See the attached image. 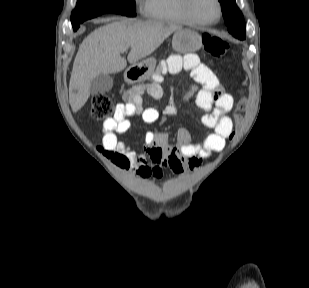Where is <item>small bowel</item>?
<instances>
[{"label":"small bowel","instance_id":"c3829d8e","mask_svg":"<svg viewBox=\"0 0 309 288\" xmlns=\"http://www.w3.org/2000/svg\"><path fill=\"white\" fill-rule=\"evenodd\" d=\"M183 68L191 73L197 86H187L182 100L195 97L196 106L205 113L202 122L212 132L202 142L193 143L190 131L180 128L176 144L170 142L167 133L148 132L143 153L130 149L117 139V135L130 129L128 117L138 115L144 123L156 122L160 113L153 107H144L143 95L147 94L153 99H160L163 95V89L157 81L137 86L124 94L123 102L118 104L114 116L106 119L102 125L104 150L109 156L118 154L123 157L117 162L121 169L134 170L142 179L159 180L163 177L164 169H169L175 176H182L188 170L199 168L203 159L224 149L225 141L233 131V121L228 116L234 106L233 97L223 90L214 72L202 64L195 54L170 56L167 62L170 73H178ZM176 111V100L171 97L164 114L174 115Z\"/></svg>","mask_w":309,"mask_h":288}]
</instances>
